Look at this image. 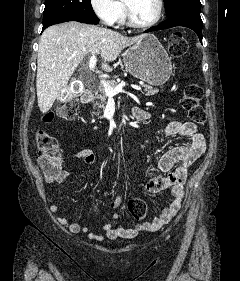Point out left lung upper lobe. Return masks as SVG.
Here are the masks:
<instances>
[{
	"mask_svg": "<svg viewBox=\"0 0 240 281\" xmlns=\"http://www.w3.org/2000/svg\"><path fill=\"white\" fill-rule=\"evenodd\" d=\"M164 4L165 12L167 13L168 17L185 8L201 10L200 0H164Z\"/></svg>",
	"mask_w": 240,
	"mask_h": 281,
	"instance_id": "left-lung-upper-lobe-1",
	"label": "left lung upper lobe"
}]
</instances>
